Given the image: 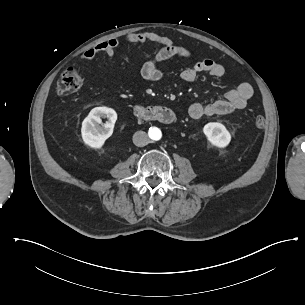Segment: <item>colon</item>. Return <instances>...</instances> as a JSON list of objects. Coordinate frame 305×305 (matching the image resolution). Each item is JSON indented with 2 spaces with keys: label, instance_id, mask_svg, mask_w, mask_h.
Here are the masks:
<instances>
[{
  "label": "colon",
  "instance_id": "1",
  "mask_svg": "<svg viewBox=\"0 0 305 305\" xmlns=\"http://www.w3.org/2000/svg\"><path fill=\"white\" fill-rule=\"evenodd\" d=\"M82 84V78L80 74L74 69H68L61 76L56 84V93L60 96H66L70 93L77 91ZM255 124L259 127L264 126L265 118L262 115L255 117Z\"/></svg>",
  "mask_w": 305,
  "mask_h": 305
}]
</instances>
